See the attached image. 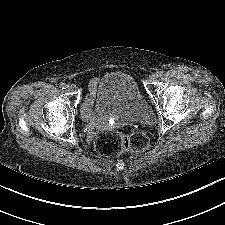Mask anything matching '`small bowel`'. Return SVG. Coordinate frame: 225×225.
<instances>
[{
	"label": "small bowel",
	"mask_w": 225,
	"mask_h": 225,
	"mask_svg": "<svg viewBox=\"0 0 225 225\" xmlns=\"http://www.w3.org/2000/svg\"><path fill=\"white\" fill-rule=\"evenodd\" d=\"M97 83V79H93L90 82V87H91V94H89L82 107H81V114L83 116V118L87 121H91L92 120V107H93V101H94V88L95 85Z\"/></svg>",
	"instance_id": "1"
}]
</instances>
